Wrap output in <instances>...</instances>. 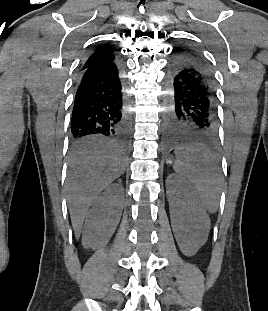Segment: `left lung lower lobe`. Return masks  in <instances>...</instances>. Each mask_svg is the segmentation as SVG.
Masks as SVG:
<instances>
[{"label":"left lung lower lobe","mask_w":268,"mask_h":311,"mask_svg":"<svg viewBox=\"0 0 268 311\" xmlns=\"http://www.w3.org/2000/svg\"><path fill=\"white\" fill-rule=\"evenodd\" d=\"M167 83L166 141H218L215 83L207 61L194 50H182L170 60Z\"/></svg>","instance_id":"0a47b994"}]
</instances>
